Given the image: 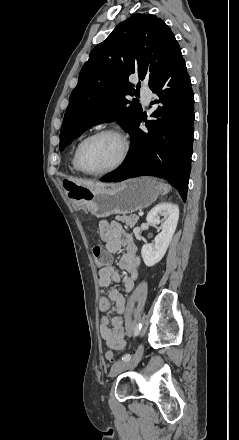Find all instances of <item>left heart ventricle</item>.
<instances>
[{
  "mask_svg": "<svg viewBox=\"0 0 239 440\" xmlns=\"http://www.w3.org/2000/svg\"><path fill=\"white\" fill-rule=\"evenodd\" d=\"M122 152L120 140L113 135H101L88 141L82 149L83 167L99 172L113 167Z\"/></svg>",
  "mask_w": 239,
  "mask_h": 440,
  "instance_id": "left-heart-ventricle-1",
  "label": "left heart ventricle"
}]
</instances>
